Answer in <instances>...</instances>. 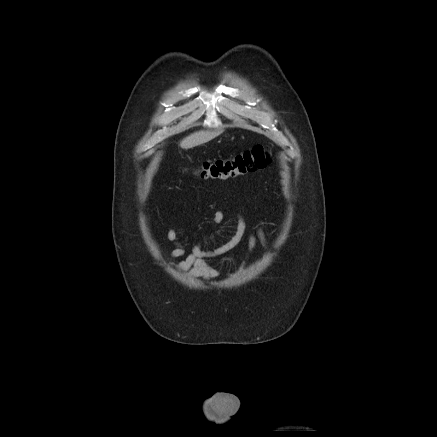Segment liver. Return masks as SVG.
Returning a JSON list of instances; mask_svg holds the SVG:
<instances>
[{
	"label": "liver",
	"mask_w": 437,
	"mask_h": 437,
	"mask_svg": "<svg viewBox=\"0 0 437 437\" xmlns=\"http://www.w3.org/2000/svg\"><path fill=\"white\" fill-rule=\"evenodd\" d=\"M222 132H223L222 130H218V131L201 130L198 132H194L180 142V147L183 149H190L199 146L216 138Z\"/></svg>",
	"instance_id": "6515ba94"
}]
</instances>
